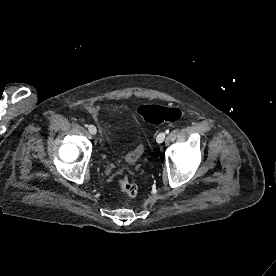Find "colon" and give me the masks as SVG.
<instances>
[{
	"label": "colon",
	"instance_id": "obj_1",
	"mask_svg": "<svg viewBox=\"0 0 276 276\" xmlns=\"http://www.w3.org/2000/svg\"><path fill=\"white\" fill-rule=\"evenodd\" d=\"M138 115L148 124H161L163 122H175L182 116V110L175 106H163L156 104L140 105L137 108ZM140 150H136L138 155ZM120 190L129 198L138 194L137 185L126 177L118 180Z\"/></svg>",
	"mask_w": 276,
	"mask_h": 276
}]
</instances>
